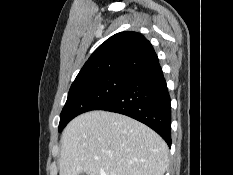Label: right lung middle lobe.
Segmentation results:
<instances>
[{
    "instance_id": "dd1d6c3e",
    "label": "right lung middle lobe",
    "mask_w": 233,
    "mask_h": 175,
    "mask_svg": "<svg viewBox=\"0 0 233 175\" xmlns=\"http://www.w3.org/2000/svg\"><path fill=\"white\" fill-rule=\"evenodd\" d=\"M133 77L109 74L73 82L60 115L59 132L76 116L113 98Z\"/></svg>"
}]
</instances>
